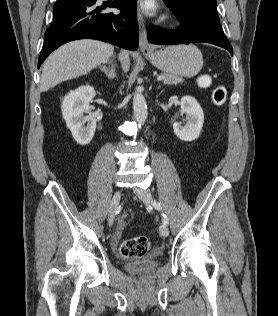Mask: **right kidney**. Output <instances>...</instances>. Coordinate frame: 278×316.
Listing matches in <instances>:
<instances>
[{
  "label": "right kidney",
  "instance_id": "1",
  "mask_svg": "<svg viewBox=\"0 0 278 316\" xmlns=\"http://www.w3.org/2000/svg\"><path fill=\"white\" fill-rule=\"evenodd\" d=\"M96 92L90 85L81 86L65 96L62 115L75 141L84 146L90 143L96 130V119L90 111L89 102ZM87 113V116H84ZM88 122L87 126L84 124Z\"/></svg>",
  "mask_w": 278,
  "mask_h": 316
}]
</instances>
